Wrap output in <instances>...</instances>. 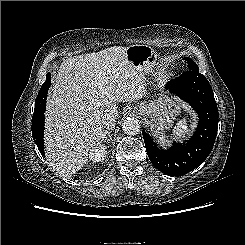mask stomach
Here are the masks:
<instances>
[{"instance_id":"obj_1","label":"stomach","mask_w":245,"mask_h":245,"mask_svg":"<svg viewBox=\"0 0 245 245\" xmlns=\"http://www.w3.org/2000/svg\"><path fill=\"white\" fill-rule=\"evenodd\" d=\"M126 57L139 72L154 76L160 83L165 81L153 70L158 55L152 47L131 45L126 50ZM134 109L152 129L163 130L172 127L175 118L181 113L182 105L177 99L163 94L153 101L137 105Z\"/></svg>"}]
</instances>
